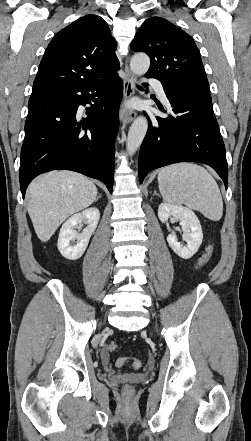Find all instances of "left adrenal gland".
I'll return each mask as SVG.
<instances>
[{"label":"left adrenal gland","instance_id":"1","mask_svg":"<svg viewBox=\"0 0 251 441\" xmlns=\"http://www.w3.org/2000/svg\"><path fill=\"white\" fill-rule=\"evenodd\" d=\"M154 195H158L156 191H154Z\"/></svg>","mask_w":251,"mask_h":441}]
</instances>
